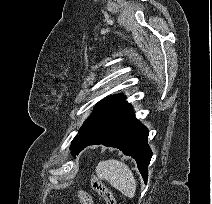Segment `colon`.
Masks as SVG:
<instances>
[{
    "label": "colon",
    "mask_w": 212,
    "mask_h": 204,
    "mask_svg": "<svg viewBox=\"0 0 212 204\" xmlns=\"http://www.w3.org/2000/svg\"><path fill=\"white\" fill-rule=\"evenodd\" d=\"M91 187L103 198L106 204H116L113 193L96 175L91 177ZM78 198L81 204H93L92 196L85 190L78 191Z\"/></svg>",
    "instance_id": "obj_1"
}]
</instances>
